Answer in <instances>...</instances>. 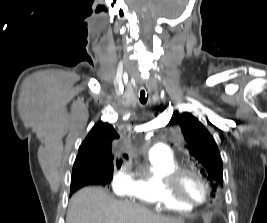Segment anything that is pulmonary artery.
<instances>
[{
	"label": "pulmonary artery",
	"mask_w": 267,
	"mask_h": 223,
	"mask_svg": "<svg viewBox=\"0 0 267 223\" xmlns=\"http://www.w3.org/2000/svg\"><path fill=\"white\" fill-rule=\"evenodd\" d=\"M149 156L152 157H160V158H168L171 156V151L167 145L158 143L155 144L149 151Z\"/></svg>",
	"instance_id": "pulmonary-artery-1"
}]
</instances>
